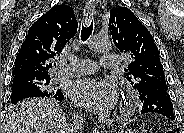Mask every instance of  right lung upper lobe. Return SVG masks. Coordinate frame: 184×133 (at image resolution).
Wrapping results in <instances>:
<instances>
[{
  "label": "right lung upper lobe",
  "instance_id": "1",
  "mask_svg": "<svg viewBox=\"0 0 184 133\" xmlns=\"http://www.w3.org/2000/svg\"><path fill=\"white\" fill-rule=\"evenodd\" d=\"M77 28L72 7L64 4L52 7L30 27L16 56L12 76L49 75L54 57L60 55Z\"/></svg>",
  "mask_w": 184,
  "mask_h": 133
}]
</instances>
